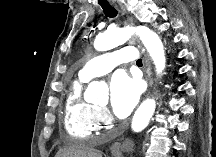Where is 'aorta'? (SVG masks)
Wrapping results in <instances>:
<instances>
[{"mask_svg":"<svg viewBox=\"0 0 216 157\" xmlns=\"http://www.w3.org/2000/svg\"><path fill=\"white\" fill-rule=\"evenodd\" d=\"M133 34L139 35L153 60L157 75L162 74L166 66L165 48L157 33L148 27L127 26L107 30L104 34L96 37L94 47L98 51H108L129 40ZM105 93L106 89L99 82L94 81L89 84L85 99L100 103L107 100ZM155 108L156 102L154 98H148L141 103L132 119L131 127L134 132H141L148 126L155 113Z\"/></svg>","mask_w":216,"mask_h":157,"instance_id":"1","label":"aorta"}]
</instances>
